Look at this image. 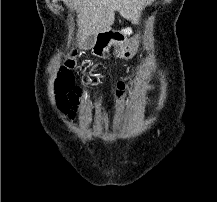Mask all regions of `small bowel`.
I'll return each mask as SVG.
<instances>
[{
  "label": "small bowel",
  "instance_id": "obj_1",
  "mask_svg": "<svg viewBox=\"0 0 217 202\" xmlns=\"http://www.w3.org/2000/svg\"><path fill=\"white\" fill-rule=\"evenodd\" d=\"M87 89H88V90H95V89H96V86H95V85H88V86H87Z\"/></svg>",
  "mask_w": 217,
  "mask_h": 202
}]
</instances>
